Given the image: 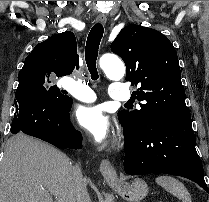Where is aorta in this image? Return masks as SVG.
I'll use <instances>...</instances> for the list:
<instances>
[{"instance_id": "aorta-1", "label": "aorta", "mask_w": 209, "mask_h": 202, "mask_svg": "<svg viewBox=\"0 0 209 202\" xmlns=\"http://www.w3.org/2000/svg\"><path fill=\"white\" fill-rule=\"evenodd\" d=\"M99 64L106 76L112 80H120L125 75V66L117 56L103 55Z\"/></svg>"}]
</instances>
